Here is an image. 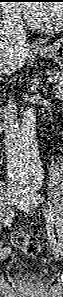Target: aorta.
I'll return each mask as SVG.
<instances>
[{"instance_id": "obj_1", "label": "aorta", "mask_w": 63, "mask_h": 297, "mask_svg": "<svg viewBox=\"0 0 63 297\" xmlns=\"http://www.w3.org/2000/svg\"><path fill=\"white\" fill-rule=\"evenodd\" d=\"M21 138L27 164L31 168H38L40 163L36 137V110L33 106H28L23 114Z\"/></svg>"}]
</instances>
